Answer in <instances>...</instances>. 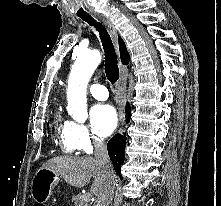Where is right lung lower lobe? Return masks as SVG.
<instances>
[{
	"mask_svg": "<svg viewBox=\"0 0 221 206\" xmlns=\"http://www.w3.org/2000/svg\"><path fill=\"white\" fill-rule=\"evenodd\" d=\"M131 115L129 104L126 105V119ZM126 137L116 134L107 144V150L116 174L121 177L120 169L125 157Z\"/></svg>",
	"mask_w": 221,
	"mask_h": 206,
	"instance_id": "obj_1",
	"label": "right lung lower lobe"
}]
</instances>
